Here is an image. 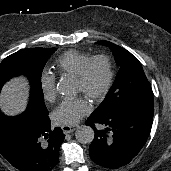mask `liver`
<instances>
[{"label":"liver","instance_id":"6515ba94","mask_svg":"<svg viewBox=\"0 0 171 171\" xmlns=\"http://www.w3.org/2000/svg\"><path fill=\"white\" fill-rule=\"evenodd\" d=\"M28 99V85L24 78L15 79L7 83L0 97L2 110L9 115L22 112Z\"/></svg>","mask_w":171,"mask_h":171}]
</instances>
